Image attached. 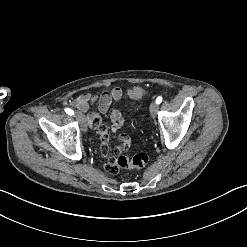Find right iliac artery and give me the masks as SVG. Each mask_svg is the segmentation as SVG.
Returning <instances> with one entry per match:
<instances>
[{"label":"right iliac artery","mask_w":247,"mask_h":247,"mask_svg":"<svg viewBox=\"0 0 247 247\" xmlns=\"http://www.w3.org/2000/svg\"><path fill=\"white\" fill-rule=\"evenodd\" d=\"M65 112H66L67 114H69V115H73V114H74V111L71 110L70 108H66V109H65Z\"/></svg>","instance_id":"1"}]
</instances>
